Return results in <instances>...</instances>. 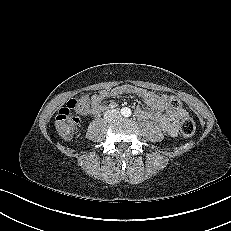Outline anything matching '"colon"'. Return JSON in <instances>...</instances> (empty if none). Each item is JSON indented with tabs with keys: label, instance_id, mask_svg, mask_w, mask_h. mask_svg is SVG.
Wrapping results in <instances>:
<instances>
[{
	"label": "colon",
	"instance_id": "colon-1",
	"mask_svg": "<svg viewBox=\"0 0 231 231\" xmlns=\"http://www.w3.org/2000/svg\"><path fill=\"white\" fill-rule=\"evenodd\" d=\"M168 104L172 109H182V102L176 97H169ZM82 113V106L77 100H70L67 105L60 109L56 119L55 127L58 134L63 138L70 137L79 123V117L75 114ZM179 129L183 136L191 137L195 133V123L189 116H183L179 123Z\"/></svg>",
	"mask_w": 231,
	"mask_h": 231
}]
</instances>
